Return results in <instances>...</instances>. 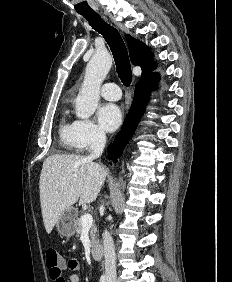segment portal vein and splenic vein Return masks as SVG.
I'll return each instance as SVG.
<instances>
[{
    "instance_id": "obj_1",
    "label": "portal vein and splenic vein",
    "mask_w": 232,
    "mask_h": 282,
    "mask_svg": "<svg viewBox=\"0 0 232 282\" xmlns=\"http://www.w3.org/2000/svg\"><path fill=\"white\" fill-rule=\"evenodd\" d=\"M81 223L83 227H91L93 223V217L91 214L86 213L81 218Z\"/></svg>"
}]
</instances>
